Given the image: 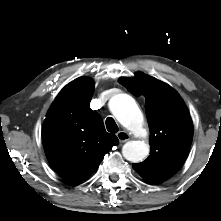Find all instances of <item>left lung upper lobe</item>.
I'll return each mask as SVG.
<instances>
[{
    "label": "left lung upper lobe",
    "instance_id": "5c2ea615",
    "mask_svg": "<svg viewBox=\"0 0 221 221\" xmlns=\"http://www.w3.org/2000/svg\"><path fill=\"white\" fill-rule=\"evenodd\" d=\"M119 83L146 99L150 156L133 168L148 183H162L179 170L191 146L193 123L187 107L171 86L144 73L122 77Z\"/></svg>",
    "mask_w": 221,
    "mask_h": 221
}]
</instances>
